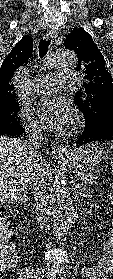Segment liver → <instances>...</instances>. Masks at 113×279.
<instances>
[{
	"label": "liver",
	"instance_id": "liver-1",
	"mask_svg": "<svg viewBox=\"0 0 113 279\" xmlns=\"http://www.w3.org/2000/svg\"><path fill=\"white\" fill-rule=\"evenodd\" d=\"M40 159L27 142L0 136V207L27 191L40 171Z\"/></svg>",
	"mask_w": 113,
	"mask_h": 279
}]
</instances>
